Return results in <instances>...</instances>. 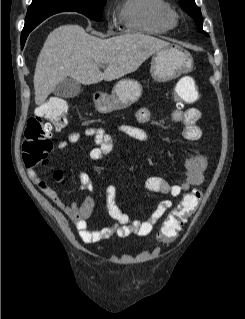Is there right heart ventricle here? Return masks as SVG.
<instances>
[{"label":"right heart ventricle","mask_w":245,"mask_h":319,"mask_svg":"<svg viewBox=\"0 0 245 319\" xmlns=\"http://www.w3.org/2000/svg\"><path fill=\"white\" fill-rule=\"evenodd\" d=\"M118 17L128 30L149 34H165L175 23L167 0H123Z\"/></svg>","instance_id":"e07e8e85"}]
</instances>
